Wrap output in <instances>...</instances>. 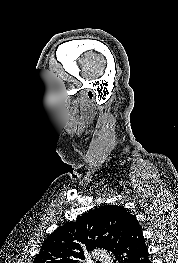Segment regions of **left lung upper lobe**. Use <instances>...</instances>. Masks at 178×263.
Segmentation results:
<instances>
[{"label": "left lung upper lobe", "instance_id": "obj_1", "mask_svg": "<svg viewBox=\"0 0 178 263\" xmlns=\"http://www.w3.org/2000/svg\"><path fill=\"white\" fill-rule=\"evenodd\" d=\"M132 216L115 205L79 215L45 240L33 263H79L86 251L98 247L115 253Z\"/></svg>", "mask_w": 178, "mask_h": 263}]
</instances>
